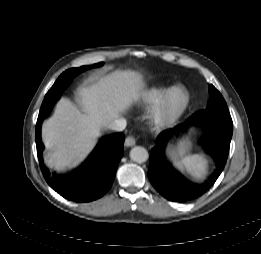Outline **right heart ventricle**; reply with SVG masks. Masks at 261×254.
Wrapping results in <instances>:
<instances>
[{"mask_svg":"<svg viewBox=\"0 0 261 254\" xmlns=\"http://www.w3.org/2000/svg\"><path fill=\"white\" fill-rule=\"evenodd\" d=\"M167 90L165 85L152 86L140 94V102L146 107L154 106Z\"/></svg>","mask_w":261,"mask_h":254,"instance_id":"obj_1","label":"right heart ventricle"}]
</instances>
